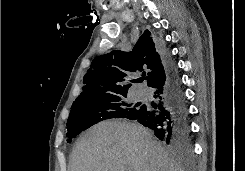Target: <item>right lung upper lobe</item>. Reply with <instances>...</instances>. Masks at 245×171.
<instances>
[{"instance_id":"right-lung-upper-lobe-1","label":"right lung upper lobe","mask_w":245,"mask_h":171,"mask_svg":"<svg viewBox=\"0 0 245 171\" xmlns=\"http://www.w3.org/2000/svg\"><path fill=\"white\" fill-rule=\"evenodd\" d=\"M151 33L146 30L131 52L113 50L97 56L83 78V92L75 101L127 94L132 72L148 70V86L165 75V64Z\"/></svg>"}]
</instances>
